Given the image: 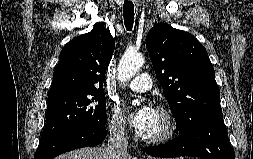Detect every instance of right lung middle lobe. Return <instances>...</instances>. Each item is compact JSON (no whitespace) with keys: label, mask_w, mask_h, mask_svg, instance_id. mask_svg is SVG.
<instances>
[{"label":"right lung middle lobe","mask_w":253,"mask_h":159,"mask_svg":"<svg viewBox=\"0 0 253 159\" xmlns=\"http://www.w3.org/2000/svg\"><path fill=\"white\" fill-rule=\"evenodd\" d=\"M106 119V98L103 90L48 98L46 124L40 142L74 126H104Z\"/></svg>","instance_id":"1"}]
</instances>
